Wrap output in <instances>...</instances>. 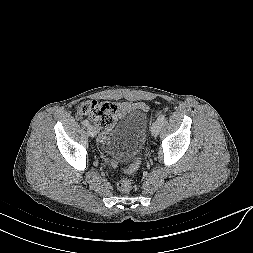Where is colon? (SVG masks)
<instances>
[{"mask_svg":"<svg viewBox=\"0 0 253 253\" xmlns=\"http://www.w3.org/2000/svg\"><path fill=\"white\" fill-rule=\"evenodd\" d=\"M118 106L112 102H98L88 100L82 102L78 106V112L81 115L88 116L96 124L101 132H107L114 124ZM140 157L135 160L126 169L127 173L136 171L140 166ZM118 189L123 193H127L132 189V183L127 178H122L118 182Z\"/></svg>","mask_w":253,"mask_h":253,"instance_id":"colon-1","label":"colon"}]
</instances>
